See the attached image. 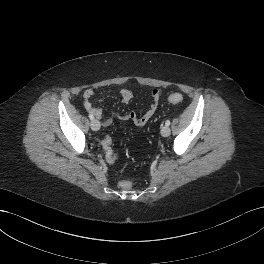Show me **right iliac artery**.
Listing matches in <instances>:
<instances>
[{"label": "right iliac artery", "instance_id": "1", "mask_svg": "<svg viewBox=\"0 0 264 264\" xmlns=\"http://www.w3.org/2000/svg\"><path fill=\"white\" fill-rule=\"evenodd\" d=\"M89 118H90L91 120H93V119H94V116H93L92 114H89Z\"/></svg>", "mask_w": 264, "mask_h": 264}]
</instances>
